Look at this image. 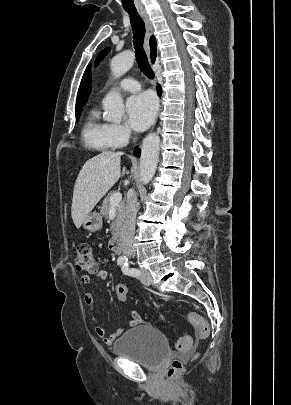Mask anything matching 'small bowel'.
Returning a JSON list of instances; mask_svg holds the SVG:
<instances>
[{
    "label": "small bowel",
    "instance_id": "1",
    "mask_svg": "<svg viewBox=\"0 0 291 405\" xmlns=\"http://www.w3.org/2000/svg\"><path fill=\"white\" fill-rule=\"evenodd\" d=\"M96 277H98L100 280L104 281L108 278V272L105 270H98L95 273ZM80 283L83 286H87L90 283V277L87 275H83L80 278ZM84 302L85 304L90 308L91 310V323L94 326L96 334L101 337L104 342L108 345L113 344L116 339L121 336L124 332L123 328H118L116 329L113 333L107 334L106 329L100 325V319L95 313V299L92 293L86 292L84 295ZM143 323V318L136 313L135 311L132 312V320L129 321V325L131 327L137 326L139 324Z\"/></svg>",
    "mask_w": 291,
    "mask_h": 405
}]
</instances>
